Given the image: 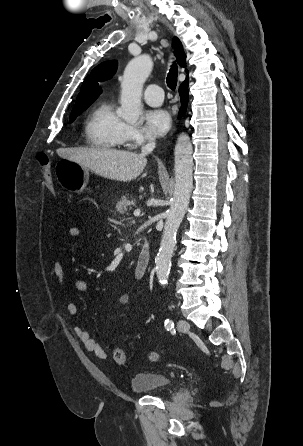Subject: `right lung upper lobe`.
Here are the masks:
<instances>
[{
    "label": "right lung upper lobe",
    "instance_id": "obj_1",
    "mask_svg": "<svg viewBox=\"0 0 303 446\" xmlns=\"http://www.w3.org/2000/svg\"><path fill=\"white\" fill-rule=\"evenodd\" d=\"M173 47L175 49L177 62L180 66L185 67L186 55L183 52L182 44L178 38H174ZM116 70L117 61L103 62L95 67L92 70L91 75L85 78L74 108L93 103L102 92L99 83L111 79L116 73ZM186 80H188V76L186 77Z\"/></svg>",
    "mask_w": 303,
    "mask_h": 446
}]
</instances>
